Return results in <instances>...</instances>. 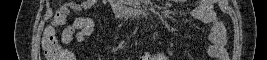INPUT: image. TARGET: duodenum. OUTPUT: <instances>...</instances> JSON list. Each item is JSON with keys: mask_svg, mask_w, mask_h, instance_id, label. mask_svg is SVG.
Instances as JSON below:
<instances>
[{"mask_svg": "<svg viewBox=\"0 0 267 60\" xmlns=\"http://www.w3.org/2000/svg\"><path fill=\"white\" fill-rule=\"evenodd\" d=\"M111 4L113 6L115 16L120 19L124 17L139 19L146 15L145 10L128 8L122 3V1L115 0L112 1Z\"/></svg>", "mask_w": 267, "mask_h": 60, "instance_id": "duodenum-1", "label": "duodenum"}]
</instances>
